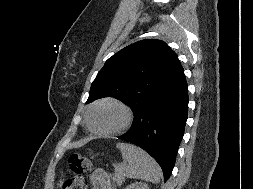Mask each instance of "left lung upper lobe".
Here are the masks:
<instances>
[{
    "instance_id": "5c2ea615",
    "label": "left lung upper lobe",
    "mask_w": 253,
    "mask_h": 189,
    "mask_svg": "<svg viewBox=\"0 0 253 189\" xmlns=\"http://www.w3.org/2000/svg\"><path fill=\"white\" fill-rule=\"evenodd\" d=\"M182 71L176 53L165 42L138 41L106 61L91 85L87 103L114 97L127 104L135 115L167 89Z\"/></svg>"
}]
</instances>
